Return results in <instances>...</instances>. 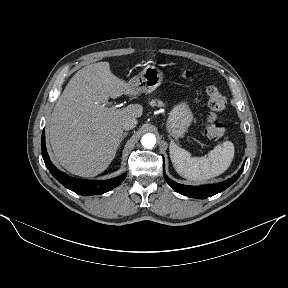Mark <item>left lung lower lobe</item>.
<instances>
[{
	"instance_id": "0a47b994",
	"label": "left lung lower lobe",
	"mask_w": 288,
	"mask_h": 288,
	"mask_svg": "<svg viewBox=\"0 0 288 288\" xmlns=\"http://www.w3.org/2000/svg\"><path fill=\"white\" fill-rule=\"evenodd\" d=\"M244 164L242 165L238 173L234 175L232 178L221 183L202 185V186H187V185L176 183L165 175L164 167H163V172H164L165 180L170 185V187H172L176 192L182 195L191 197V198L205 199L219 192L224 191L226 188L232 185L242 173Z\"/></svg>"
}]
</instances>
